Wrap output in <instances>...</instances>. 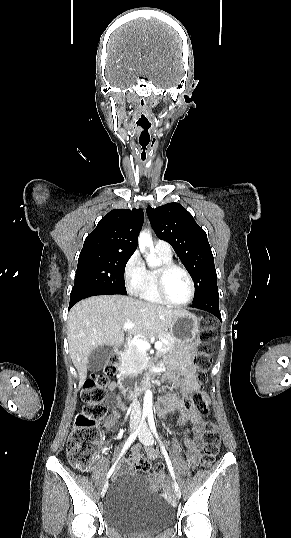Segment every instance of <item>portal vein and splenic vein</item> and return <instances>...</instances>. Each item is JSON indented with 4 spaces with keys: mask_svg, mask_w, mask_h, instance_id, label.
<instances>
[{
    "mask_svg": "<svg viewBox=\"0 0 291 538\" xmlns=\"http://www.w3.org/2000/svg\"><path fill=\"white\" fill-rule=\"evenodd\" d=\"M135 324L132 323V322H127L124 324L123 328L125 330H129L131 329ZM133 343L136 345V347L138 349H141V350H148L150 349L151 345L145 341V340H141V339H136L133 341ZM162 347V342L161 341H157L155 343V349H160Z\"/></svg>",
    "mask_w": 291,
    "mask_h": 538,
    "instance_id": "portal-vein-and-splenic-vein-1",
    "label": "portal vein and splenic vein"
}]
</instances>
